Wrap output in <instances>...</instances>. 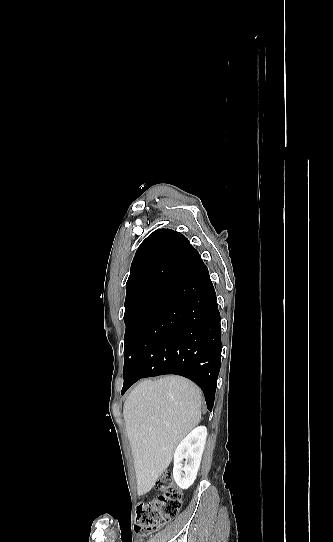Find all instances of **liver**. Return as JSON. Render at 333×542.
Masks as SVG:
<instances>
[{"mask_svg":"<svg viewBox=\"0 0 333 542\" xmlns=\"http://www.w3.org/2000/svg\"><path fill=\"white\" fill-rule=\"evenodd\" d=\"M201 390L182 376L143 380L125 400L123 416L138 496L154 488L179 442L201 420Z\"/></svg>","mask_w":333,"mask_h":542,"instance_id":"1","label":"liver"}]
</instances>
